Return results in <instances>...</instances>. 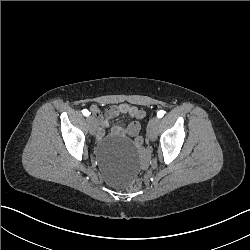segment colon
Here are the masks:
<instances>
[{
	"label": "colon",
	"mask_w": 250,
	"mask_h": 250,
	"mask_svg": "<svg viewBox=\"0 0 250 250\" xmlns=\"http://www.w3.org/2000/svg\"><path fill=\"white\" fill-rule=\"evenodd\" d=\"M145 116V111L144 110H139L136 113V118L137 119H142ZM134 144L135 145H143L144 144V139L141 137H137L134 139ZM144 186V181L141 178H136L135 180L131 181L130 186L125 187V192L126 193H131L132 190L134 192H139Z\"/></svg>",
	"instance_id": "1"
}]
</instances>
